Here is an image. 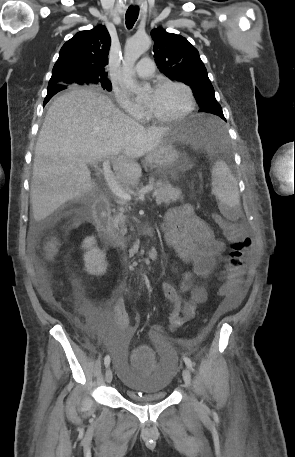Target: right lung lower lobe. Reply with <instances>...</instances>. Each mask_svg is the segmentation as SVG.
I'll use <instances>...</instances> for the list:
<instances>
[{
    "label": "right lung lower lobe",
    "instance_id": "right-lung-lower-lobe-1",
    "mask_svg": "<svg viewBox=\"0 0 295 457\" xmlns=\"http://www.w3.org/2000/svg\"><path fill=\"white\" fill-rule=\"evenodd\" d=\"M65 89V87H62V86H50L48 87V93H47V96L44 100V105L50 100V98L55 95L57 92L61 91Z\"/></svg>",
    "mask_w": 295,
    "mask_h": 457
}]
</instances>
